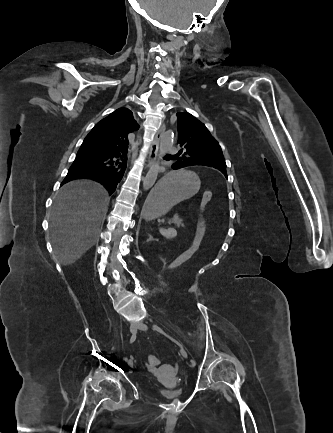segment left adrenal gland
I'll list each match as a JSON object with an SVG mask.
<instances>
[{"instance_id":"a2214340","label":"left adrenal gland","mask_w":333,"mask_h":433,"mask_svg":"<svg viewBox=\"0 0 333 433\" xmlns=\"http://www.w3.org/2000/svg\"><path fill=\"white\" fill-rule=\"evenodd\" d=\"M148 236H149V238L147 239V242H150V241L154 240L153 237H152V235L148 234Z\"/></svg>"}]
</instances>
